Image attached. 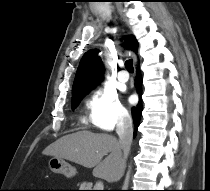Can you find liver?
<instances>
[{
    "label": "liver",
    "instance_id": "obj_1",
    "mask_svg": "<svg viewBox=\"0 0 210 191\" xmlns=\"http://www.w3.org/2000/svg\"><path fill=\"white\" fill-rule=\"evenodd\" d=\"M43 154L94 168L93 174L108 182L121 178V148L117 138L109 134L87 130L68 134L49 145Z\"/></svg>",
    "mask_w": 210,
    "mask_h": 191
}]
</instances>
